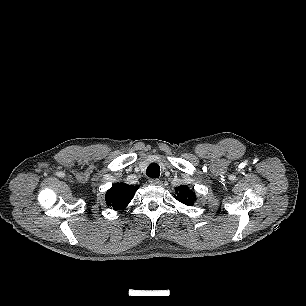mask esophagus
Returning a JSON list of instances; mask_svg holds the SVG:
<instances>
[{
  "label": "esophagus",
  "instance_id": "34e87169",
  "mask_svg": "<svg viewBox=\"0 0 306 306\" xmlns=\"http://www.w3.org/2000/svg\"><path fill=\"white\" fill-rule=\"evenodd\" d=\"M149 183L151 185H159L160 184V180L157 179V178H152V179L149 180Z\"/></svg>",
  "mask_w": 306,
  "mask_h": 306
}]
</instances>
